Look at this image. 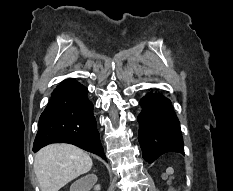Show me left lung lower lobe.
Segmentation results:
<instances>
[{"label":"left lung lower lobe","instance_id":"0a47b994","mask_svg":"<svg viewBox=\"0 0 233 191\" xmlns=\"http://www.w3.org/2000/svg\"><path fill=\"white\" fill-rule=\"evenodd\" d=\"M139 104L142 112L138 116V140L145 161L152 163L167 153L184 155L179 121L170 100L161 94L150 92Z\"/></svg>","mask_w":233,"mask_h":191}]
</instances>
